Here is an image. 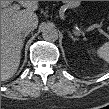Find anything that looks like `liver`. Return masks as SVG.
Here are the masks:
<instances>
[{
  "instance_id": "6515ba94",
  "label": "liver",
  "mask_w": 109,
  "mask_h": 109,
  "mask_svg": "<svg viewBox=\"0 0 109 109\" xmlns=\"http://www.w3.org/2000/svg\"><path fill=\"white\" fill-rule=\"evenodd\" d=\"M5 5L8 4L4 3ZM20 4L25 7L12 6L2 9L1 15V78L7 80L17 71L21 49L23 47V36L20 25L23 22H30L34 28L38 25V16L35 11L38 9L37 1H21Z\"/></svg>"
}]
</instances>
